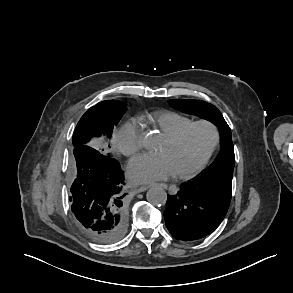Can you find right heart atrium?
I'll list each match as a JSON object with an SVG mask.
<instances>
[{
  "mask_svg": "<svg viewBox=\"0 0 293 293\" xmlns=\"http://www.w3.org/2000/svg\"><path fill=\"white\" fill-rule=\"evenodd\" d=\"M114 143L124 156L135 155L141 149L140 127L135 121L124 123L115 133Z\"/></svg>",
  "mask_w": 293,
  "mask_h": 293,
  "instance_id": "obj_1",
  "label": "right heart atrium"
}]
</instances>
